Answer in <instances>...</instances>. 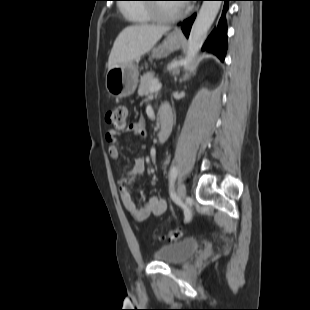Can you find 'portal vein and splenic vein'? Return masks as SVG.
<instances>
[{
    "instance_id": "18ae733b",
    "label": "portal vein and splenic vein",
    "mask_w": 310,
    "mask_h": 310,
    "mask_svg": "<svg viewBox=\"0 0 310 310\" xmlns=\"http://www.w3.org/2000/svg\"><path fill=\"white\" fill-rule=\"evenodd\" d=\"M161 87H162L161 83L157 82V83L152 85V87L150 88V91L151 92H157L161 89Z\"/></svg>"
}]
</instances>
